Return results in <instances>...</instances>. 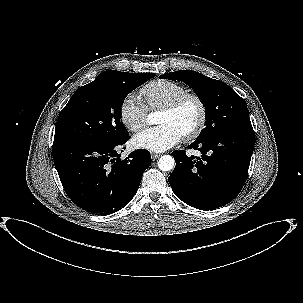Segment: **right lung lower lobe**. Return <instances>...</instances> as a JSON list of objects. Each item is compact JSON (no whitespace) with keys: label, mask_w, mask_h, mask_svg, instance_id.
<instances>
[{"label":"right lung lower lobe","mask_w":303,"mask_h":303,"mask_svg":"<svg viewBox=\"0 0 303 303\" xmlns=\"http://www.w3.org/2000/svg\"><path fill=\"white\" fill-rule=\"evenodd\" d=\"M128 139L106 143L80 139L53 143L54 164L74 204L105 215L131 201L144 171L151 164V156L149 151L137 149L121 160L116 150Z\"/></svg>","instance_id":"right-lung-lower-lobe-1"}]
</instances>
